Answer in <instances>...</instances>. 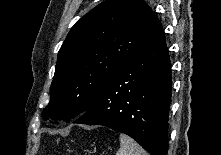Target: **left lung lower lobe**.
I'll list each match as a JSON object with an SVG mask.
<instances>
[{"instance_id": "1", "label": "left lung lower lobe", "mask_w": 221, "mask_h": 155, "mask_svg": "<svg viewBox=\"0 0 221 155\" xmlns=\"http://www.w3.org/2000/svg\"><path fill=\"white\" fill-rule=\"evenodd\" d=\"M170 102V58L159 21L74 123L107 126L131 136L151 155H167Z\"/></svg>"}]
</instances>
